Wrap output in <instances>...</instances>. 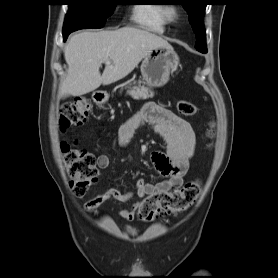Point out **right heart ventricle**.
I'll return each instance as SVG.
<instances>
[{"label": "right heart ventricle", "instance_id": "obj_1", "mask_svg": "<svg viewBox=\"0 0 278 278\" xmlns=\"http://www.w3.org/2000/svg\"><path fill=\"white\" fill-rule=\"evenodd\" d=\"M164 7L158 4H139L134 6L132 19L139 26L156 33L166 30L167 20L164 17Z\"/></svg>", "mask_w": 278, "mask_h": 278}]
</instances>
